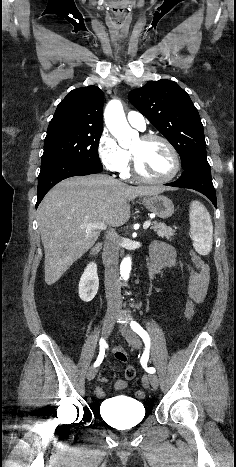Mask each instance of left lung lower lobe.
<instances>
[{
  "instance_id": "obj_1",
  "label": "left lung lower lobe",
  "mask_w": 236,
  "mask_h": 467,
  "mask_svg": "<svg viewBox=\"0 0 236 467\" xmlns=\"http://www.w3.org/2000/svg\"><path fill=\"white\" fill-rule=\"evenodd\" d=\"M167 186L196 190L207 196L217 207L216 192L212 183L210 165L207 159H200L184 169L181 177Z\"/></svg>"
}]
</instances>
